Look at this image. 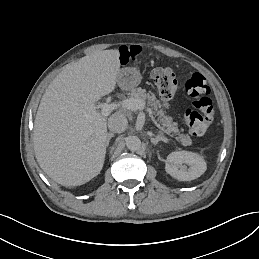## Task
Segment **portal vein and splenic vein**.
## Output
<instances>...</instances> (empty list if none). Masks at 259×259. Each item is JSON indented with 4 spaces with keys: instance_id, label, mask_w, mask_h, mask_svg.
Returning a JSON list of instances; mask_svg holds the SVG:
<instances>
[{
    "instance_id": "18ae733b",
    "label": "portal vein and splenic vein",
    "mask_w": 259,
    "mask_h": 259,
    "mask_svg": "<svg viewBox=\"0 0 259 259\" xmlns=\"http://www.w3.org/2000/svg\"><path fill=\"white\" fill-rule=\"evenodd\" d=\"M119 106L126 108L128 110L136 111L143 110L145 107V101L142 99L129 98L125 99L119 103H100L97 105V108L101 109L102 116H108L113 110L117 109Z\"/></svg>"
}]
</instances>
